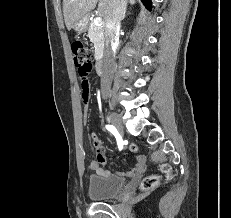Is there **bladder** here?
I'll list each match as a JSON object with an SVG mask.
<instances>
[{
  "label": "bladder",
  "instance_id": "obj_1",
  "mask_svg": "<svg viewBox=\"0 0 231 218\" xmlns=\"http://www.w3.org/2000/svg\"><path fill=\"white\" fill-rule=\"evenodd\" d=\"M125 186V180L113 175H92L88 183V195L92 200L102 201L115 197Z\"/></svg>",
  "mask_w": 231,
  "mask_h": 218
}]
</instances>
